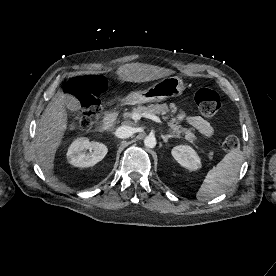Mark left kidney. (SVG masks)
Returning a JSON list of instances; mask_svg holds the SVG:
<instances>
[{
  "instance_id": "obj_1",
  "label": "left kidney",
  "mask_w": 276,
  "mask_h": 276,
  "mask_svg": "<svg viewBox=\"0 0 276 276\" xmlns=\"http://www.w3.org/2000/svg\"><path fill=\"white\" fill-rule=\"evenodd\" d=\"M172 156L183 167L195 171L201 167V161L193 148L179 145L172 149Z\"/></svg>"
}]
</instances>
